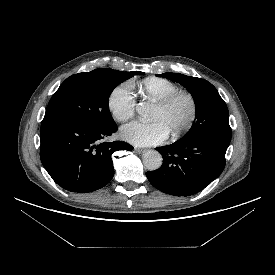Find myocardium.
<instances>
[{"instance_id": "obj_1", "label": "myocardium", "mask_w": 275, "mask_h": 275, "mask_svg": "<svg viewBox=\"0 0 275 275\" xmlns=\"http://www.w3.org/2000/svg\"><path fill=\"white\" fill-rule=\"evenodd\" d=\"M180 97H186L188 99L190 103V114L187 121L179 129L171 133V137L174 139L180 137L192 127L196 119L198 110L196 99L190 91L179 89L157 103V107L162 110H166L170 108L173 103Z\"/></svg>"}]
</instances>
